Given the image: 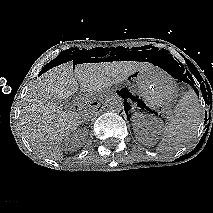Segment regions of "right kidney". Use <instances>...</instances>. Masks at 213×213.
Here are the masks:
<instances>
[{"label":"right kidney","instance_id":"obj_1","mask_svg":"<svg viewBox=\"0 0 213 213\" xmlns=\"http://www.w3.org/2000/svg\"><path fill=\"white\" fill-rule=\"evenodd\" d=\"M87 134L86 130H80L69 135V137L65 139L66 150L73 151L79 149L85 143Z\"/></svg>","mask_w":213,"mask_h":213}]
</instances>
